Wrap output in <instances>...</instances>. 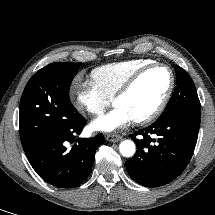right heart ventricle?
<instances>
[{"mask_svg":"<svg viewBox=\"0 0 215 215\" xmlns=\"http://www.w3.org/2000/svg\"><path fill=\"white\" fill-rule=\"evenodd\" d=\"M152 63L154 61L150 59H132L105 64L92 70V82L112 99L134 73Z\"/></svg>","mask_w":215,"mask_h":215,"instance_id":"right-heart-ventricle-1","label":"right heart ventricle"}]
</instances>
